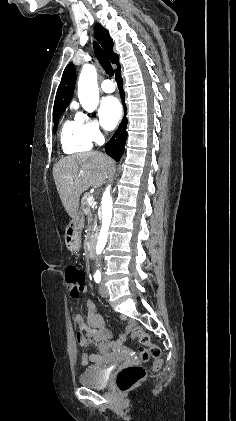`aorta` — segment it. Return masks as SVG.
<instances>
[{
  "instance_id": "aorta-1",
  "label": "aorta",
  "mask_w": 236,
  "mask_h": 421,
  "mask_svg": "<svg viewBox=\"0 0 236 421\" xmlns=\"http://www.w3.org/2000/svg\"><path fill=\"white\" fill-rule=\"evenodd\" d=\"M78 98L85 110H94L99 102V88L97 84V72L93 64H85L81 70L78 80ZM112 196L110 188H106L103 192L102 206V227L99 233L96 253L101 255L108 239V231L112 219ZM96 275H100V271H96Z\"/></svg>"
}]
</instances>
